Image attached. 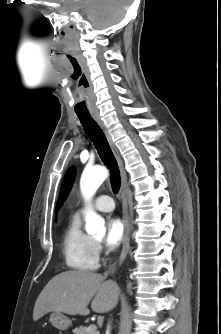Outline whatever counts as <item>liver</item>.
Returning <instances> with one entry per match:
<instances>
[{
	"instance_id": "1",
	"label": "liver",
	"mask_w": 221,
	"mask_h": 334,
	"mask_svg": "<svg viewBox=\"0 0 221 334\" xmlns=\"http://www.w3.org/2000/svg\"><path fill=\"white\" fill-rule=\"evenodd\" d=\"M120 288L116 282L105 280L98 273L65 271L53 277L38 296L33 320L46 313L57 311L68 315H88L87 308L95 313H107L118 302Z\"/></svg>"
}]
</instances>
